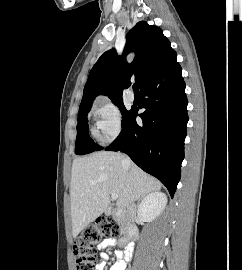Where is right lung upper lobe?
Masks as SVG:
<instances>
[{
  "label": "right lung upper lobe",
  "mask_w": 242,
  "mask_h": 270,
  "mask_svg": "<svg viewBox=\"0 0 242 270\" xmlns=\"http://www.w3.org/2000/svg\"><path fill=\"white\" fill-rule=\"evenodd\" d=\"M126 38L121 57L111 49L104 52L91 69L79 110L91 107L98 95L109 96L112 101L122 100V92L131 85L133 74L142 89L154 75L176 60L177 55L162 30L145 21L138 22ZM131 51L135 52V58L128 64L125 55Z\"/></svg>",
  "instance_id": "right-lung-upper-lobe-1"
}]
</instances>
